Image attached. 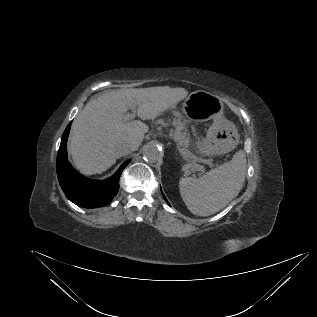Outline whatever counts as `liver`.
Masks as SVG:
<instances>
[{
  "mask_svg": "<svg viewBox=\"0 0 317 317\" xmlns=\"http://www.w3.org/2000/svg\"><path fill=\"white\" fill-rule=\"evenodd\" d=\"M187 95L184 88L161 86L119 89L90 100L70 131L69 149L74 165L85 175L105 172L120 157V144L137 143L139 147L149 130L142 121L125 118L129 109L135 110L142 120L155 119Z\"/></svg>",
  "mask_w": 317,
  "mask_h": 317,
  "instance_id": "6515ba94",
  "label": "liver"
}]
</instances>
